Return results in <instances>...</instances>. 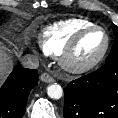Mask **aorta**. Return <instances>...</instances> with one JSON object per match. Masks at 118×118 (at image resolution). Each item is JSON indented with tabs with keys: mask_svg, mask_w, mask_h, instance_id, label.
<instances>
[{
	"mask_svg": "<svg viewBox=\"0 0 118 118\" xmlns=\"http://www.w3.org/2000/svg\"><path fill=\"white\" fill-rule=\"evenodd\" d=\"M47 94L52 99H60L63 95V89L59 84L54 83L47 87Z\"/></svg>",
	"mask_w": 118,
	"mask_h": 118,
	"instance_id": "aorta-1",
	"label": "aorta"
}]
</instances>
